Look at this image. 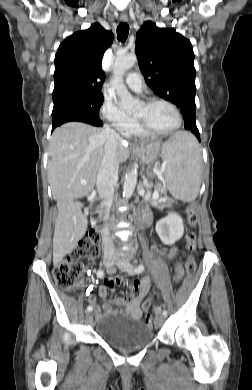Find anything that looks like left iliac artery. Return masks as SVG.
I'll return each instance as SVG.
<instances>
[{
    "mask_svg": "<svg viewBox=\"0 0 252 390\" xmlns=\"http://www.w3.org/2000/svg\"><path fill=\"white\" fill-rule=\"evenodd\" d=\"M143 270H144V266L141 264V265L137 266L134 271H135V273H141V272H143ZM163 315L167 316L166 310L163 311Z\"/></svg>",
    "mask_w": 252,
    "mask_h": 390,
    "instance_id": "obj_1",
    "label": "left iliac artery"
}]
</instances>
